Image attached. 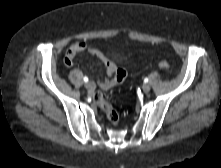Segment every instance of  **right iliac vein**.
Listing matches in <instances>:
<instances>
[{"label": "right iliac vein", "mask_w": 221, "mask_h": 168, "mask_svg": "<svg viewBox=\"0 0 221 168\" xmlns=\"http://www.w3.org/2000/svg\"><path fill=\"white\" fill-rule=\"evenodd\" d=\"M85 87L88 89V90H91L94 88V83L93 82H86L85 83Z\"/></svg>", "instance_id": "right-iliac-vein-1"}]
</instances>
